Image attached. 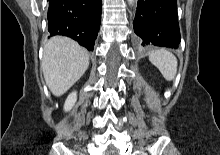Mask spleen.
<instances>
[{
  "mask_svg": "<svg viewBox=\"0 0 220 155\" xmlns=\"http://www.w3.org/2000/svg\"><path fill=\"white\" fill-rule=\"evenodd\" d=\"M150 62L155 65L167 81H172L177 73V58L166 49H159L149 54Z\"/></svg>",
  "mask_w": 220,
  "mask_h": 155,
  "instance_id": "1",
  "label": "spleen"
}]
</instances>
